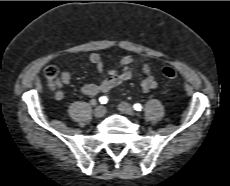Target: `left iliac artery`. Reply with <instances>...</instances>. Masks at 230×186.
<instances>
[{"instance_id": "44dca946", "label": "left iliac artery", "mask_w": 230, "mask_h": 186, "mask_svg": "<svg viewBox=\"0 0 230 186\" xmlns=\"http://www.w3.org/2000/svg\"><path fill=\"white\" fill-rule=\"evenodd\" d=\"M133 108H134L136 111H141L143 107H142L141 104L136 103V104H134Z\"/></svg>"}]
</instances>
